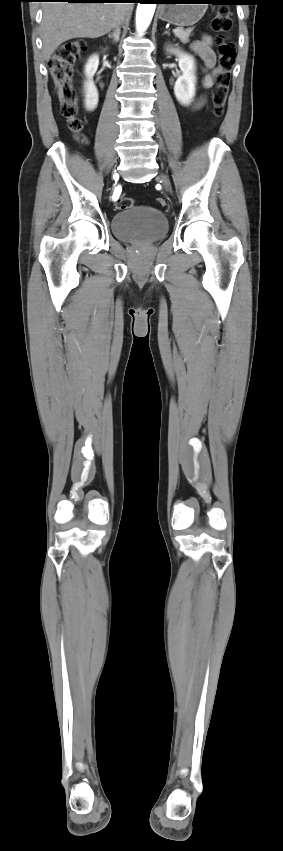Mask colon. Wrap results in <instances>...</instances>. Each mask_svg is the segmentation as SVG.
Masks as SVG:
<instances>
[{
	"instance_id": "5ec220e1",
	"label": "colon",
	"mask_w": 283,
	"mask_h": 851,
	"mask_svg": "<svg viewBox=\"0 0 283 851\" xmlns=\"http://www.w3.org/2000/svg\"><path fill=\"white\" fill-rule=\"evenodd\" d=\"M232 26L233 22L228 8H219L211 22V27L216 33V44L219 55V71L216 86L212 93L213 113L216 117H221L224 113L229 93L231 71L236 58V46L230 38ZM85 50L86 44L83 40L74 39L67 41L56 50L47 63L51 78L58 92L62 114L67 119L69 129L82 143H85L86 139L81 134L83 123L77 117V96L72 83V75L75 62ZM156 202L160 206H165L166 204L163 198H157ZM133 205L134 201L125 195L119 196L115 201V207L120 210L130 208Z\"/></svg>"
}]
</instances>
